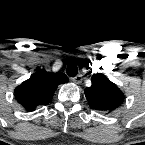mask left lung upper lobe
I'll return each mask as SVG.
<instances>
[{"label": "left lung upper lobe", "mask_w": 145, "mask_h": 145, "mask_svg": "<svg viewBox=\"0 0 145 145\" xmlns=\"http://www.w3.org/2000/svg\"><path fill=\"white\" fill-rule=\"evenodd\" d=\"M91 81L84 92L92 109L110 113L123 103L124 94L104 74H93Z\"/></svg>", "instance_id": "obj_1"}]
</instances>
